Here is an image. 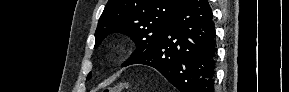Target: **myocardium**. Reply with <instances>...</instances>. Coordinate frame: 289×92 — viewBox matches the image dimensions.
Listing matches in <instances>:
<instances>
[{"mask_svg": "<svg viewBox=\"0 0 289 92\" xmlns=\"http://www.w3.org/2000/svg\"><path fill=\"white\" fill-rule=\"evenodd\" d=\"M128 52V46L124 42H118L114 45L113 56L115 59H120Z\"/></svg>", "mask_w": 289, "mask_h": 92, "instance_id": "obj_1", "label": "myocardium"}]
</instances>
